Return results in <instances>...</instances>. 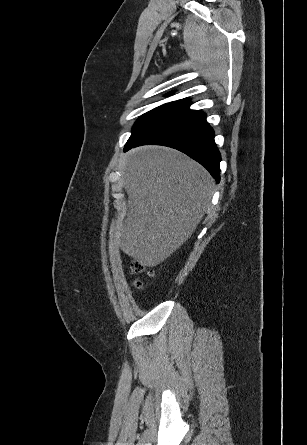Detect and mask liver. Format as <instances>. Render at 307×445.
Wrapping results in <instances>:
<instances>
[{
    "instance_id": "1",
    "label": "liver",
    "mask_w": 307,
    "mask_h": 445,
    "mask_svg": "<svg viewBox=\"0 0 307 445\" xmlns=\"http://www.w3.org/2000/svg\"><path fill=\"white\" fill-rule=\"evenodd\" d=\"M126 218L116 220L114 243L145 267H156L193 235L210 206L213 178L174 148L146 146L123 166Z\"/></svg>"
}]
</instances>
